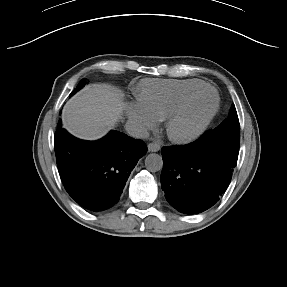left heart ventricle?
Segmentation results:
<instances>
[{
    "mask_svg": "<svg viewBox=\"0 0 287 287\" xmlns=\"http://www.w3.org/2000/svg\"><path fill=\"white\" fill-rule=\"evenodd\" d=\"M213 95L209 91L197 94L187 106L183 116L177 124L179 132H187L200 123L213 106Z\"/></svg>",
    "mask_w": 287,
    "mask_h": 287,
    "instance_id": "left-heart-ventricle-1",
    "label": "left heart ventricle"
}]
</instances>
